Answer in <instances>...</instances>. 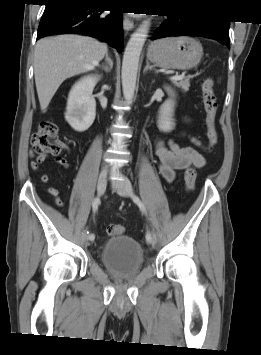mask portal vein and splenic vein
Returning <instances> with one entry per match:
<instances>
[{
	"instance_id": "portal-vein-and-splenic-vein-1",
	"label": "portal vein and splenic vein",
	"mask_w": 261,
	"mask_h": 355,
	"mask_svg": "<svg viewBox=\"0 0 261 355\" xmlns=\"http://www.w3.org/2000/svg\"><path fill=\"white\" fill-rule=\"evenodd\" d=\"M184 74H181V75H175L173 77H171L170 79L173 80V81H177V80H182L184 79Z\"/></svg>"
}]
</instances>
